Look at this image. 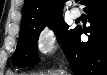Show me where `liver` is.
Listing matches in <instances>:
<instances>
[{"label":"liver","instance_id":"obj_1","mask_svg":"<svg viewBox=\"0 0 107 75\" xmlns=\"http://www.w3.org/2000/svg\"><path fill=\"white\" fill-rule=\"evenodd\" d=\"M31 75H44V74H31ZM50 75H60V74L57 73V74H50Z\"/></svg>","mask_w":107,"mask_h":75}]
</instances>
